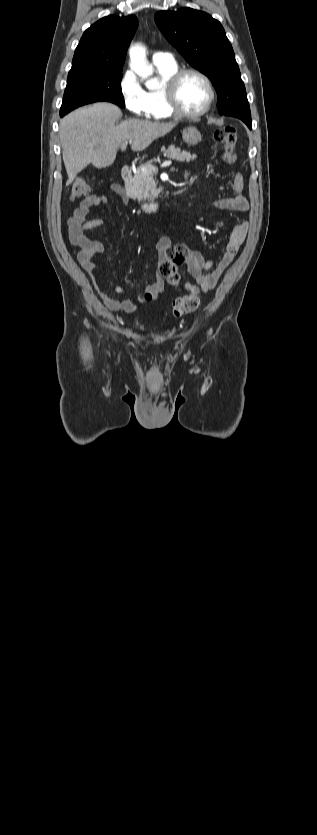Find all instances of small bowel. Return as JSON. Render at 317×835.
<instances>
[{
	"instance_id": "1",
	"label": "small bowel",
	"mask_w": 317,
	"mask_h": 835,
	"mask_svg": "<svg viewBox=\"0 0 317 835\" xmlns=\"http://www.w3.org/2000/svg\"><path fill=\"white\" fill-rule=\"evenodd\" d=\"M225 161L228 164H233L236 161V154L225 153ZM244 180L241 173H236L231 186L233 195L228 198L220 199L214 202V206L222 210H230L237 212H246L249 209V203L246 196L243 194ZM112 189L117 193H122L119 186L113 185ZM108 198L105 195H97L91 193L87 195L79 205L74 209L72 216L68 221V233L70 242L79 248L78 260L83 268L91 276L95 289L100 298L104 302L107 309L110 311L131 312L136 305L141 302V297H127L122 300H115L104 292L96 274V264L94 257L104 251L102 243L90 239L86 232L91 229L99 228L107 224L102 218L89 219L90 207H98L106 205ZM246 236V225L237 224L233 227L226 249L221 255L219 261L214 266L212 261H205L203 256L196 251L187 254V246L183 243H175L169 237L159 239L155 245L157 252L158 265L164 261H173L175 259L181 260V264H185L188 273L195 279L200 289L203 292L212 290L218 280L220 279L226 268L232 263L236 254L238 253ZM151 266L147 269L149 271ZM165 278L159 272L156 275V280L148 286V291L153 294H159L164 290ZM114 291L118 294H125L126 290L121 286H114Z\"/></svg>"
}]
</instances>
